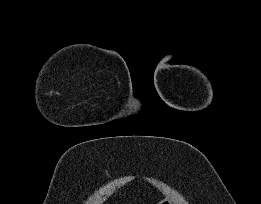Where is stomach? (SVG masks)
Wrapping results in <instances>:
<instances>
[{
	"instance_id": "1",
	"label": "stomach",
	"mask_w": 261,
	"mask_h": 204,
	"mask_svg": "<svg viewBox=\"0 0 261 204\" xmlns=\"http://www.w3.org/2000/svg\"><path fill=\"white\" fill-rule=\"evenodd\" d=\"M161 204H169V202L167 200H163Z\"/></svg>"
}]
</instances>
